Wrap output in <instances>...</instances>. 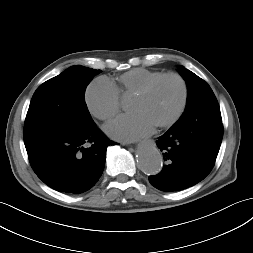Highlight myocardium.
Masks as SVG:
<instances>
[{
	"label": "myocardium",
	"instance_id": "f54148a6",
	"mask_svg": "<svg viewBox=\"0 0 253 253\" xmlns=\"http://www.w3.org/2000/svg\"><path fill=\"white\" fill-rule=\"evenodd\" d=\"M167 78H173L176 79L182 89V95H181V101L180 104L176 110V112L173 114V116L168 119L167 121L158 124L156 127L160 129H166L174 125L182 116V114L185 111L187 101H188V85L186 80L178 73L175 72H168L163 73L154 79L150 80L148 83H146L135 95L134 98H142L145 97L160 81L167 79Z\"/></svg>",
	"mask_w": 253,
	"mask_h": 253
}]
</instances>
